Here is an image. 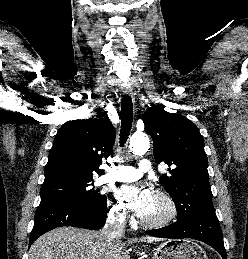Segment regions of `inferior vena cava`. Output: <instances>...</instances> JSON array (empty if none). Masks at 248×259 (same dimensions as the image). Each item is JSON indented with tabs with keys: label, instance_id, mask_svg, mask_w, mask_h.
<instances>
[{
	"label": "inferior vena cava",
	"instance_id": "obj_1",
	"mask_svg": "<svg viewBox=\"0 0 248 259\" xmlns=\"http://www.w3.org/2000/svg\"><path fill=\"white\" fill-rule=\"evenodd\" d=\"M125 216L124 214H110L102 230V234L108 237L109 241H114L124 236Z\"/></svg>",
	"mask_w": 248,
	"mask_h": 259
}]
</instances>
